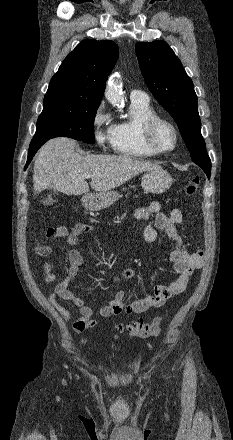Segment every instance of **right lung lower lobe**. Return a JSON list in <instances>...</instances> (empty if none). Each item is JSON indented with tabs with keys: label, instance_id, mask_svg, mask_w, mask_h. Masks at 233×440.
<instances>
[{
	"label": "right lung lower lobe",
	"instance_id": "98d812e1",
	"mask_svg": "<svg viewBox=\"0 0 233 440\" xmlns=\"http://www.w3.org/2000/svg\"><path fill=\"white\" fill-rule=\"evenodd\" d=\"M47 140H36V139H32L31 143H30V147H29V152H28V159H27V164L25 166V169L27 167V165L31 162L33 156L35 155V153L38 151V149L46 142Z\"/></svg>",
	"mask_w": 233,
	"mask_h": 440
}]
</instances>
